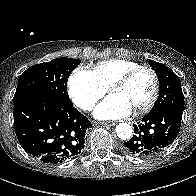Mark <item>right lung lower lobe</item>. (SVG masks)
<instances>
[{
  "instance_id": "98d812e1",
  "label": "right lung lower lobe",
  "mask_w": 196,
  "mask_h": 196,
  "mask_svg": "<svg viewBox=\"0 0 196 196\" xmlns=\"http://www.w3.org/2000/svg\"><path fill=\"white\" fill-rule=\"evenodd\" d=\"M14 128L22 148L44 163L75 158L84 148L91 122L51 96H34L14 104Z\"/></svg>"
}]
</instances>
